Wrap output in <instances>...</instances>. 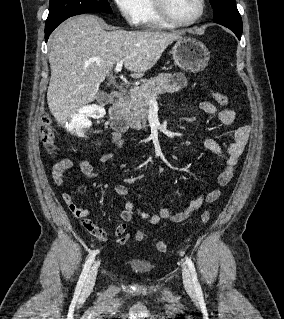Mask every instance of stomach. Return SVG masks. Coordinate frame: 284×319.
Here are the masks:
<instances>
[{
    "label": "stomach",
    "instance_id": "1",
    "mask_svg": "<svg viewBox=\"0 0 284 319\" xmlns=\"http://www.w3.org/2000/svg\"><path fill=\"white\" fill-rule=\"evenodd\" d=\"M174 63L192 73L203 70L210 59V52L201 41L191 37L179 38L172 48Z\"/></svg>",
    "mask_w": 284,
    "mask_h": 319
}]
</instances>
